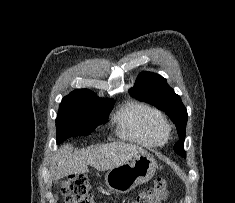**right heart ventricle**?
Returning <instances> with one entry per match:
<instances>
[{
  "mask_svg": "<svg viewBox=\"0 0 235 203\" xmlns=\"http://www.w3.org/2000/svg\"><path fill=\"white\" fill-rule=\"evenodd\" d=\"M118 133L121 137L143 146H162L167 142L168 130L162 113L140 101H130L117 113Z\"/></svg>",
  "mask_w": 235,
  "mask_h": 203,
  "instance_id": "obj_1",
  "label": "right heart ventricle"
}]
</instances>
